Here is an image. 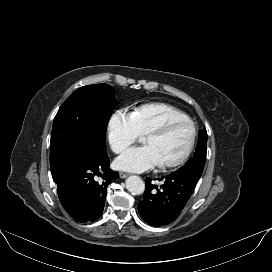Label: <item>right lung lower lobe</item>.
Masks as SVG:
<instances>
[{
	"label": "right lung lower lobe",
	"mask_w": 272,
	"mask_h": 272,
	"mask_svg": "<svg viewBox=\"0 0 272 272\" xmlns=\"http://www.w3.org/2000/svg\"><path fill=\"white\" fill-rule=\"evenodd\" d=\"M96 175L101 176L99 181ZM118 176V172L109 169L107 153L76 158L52 173L62 206L82 223L95 221L102 215L107 187Z\"/></svg>",
	"instance_id": "1"
}]
</instances>
